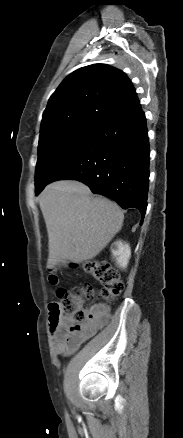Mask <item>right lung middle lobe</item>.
Instances as JSON below:
<instances>
[{
    "label": "right lung middle lobe",
    "instance_id": "obj_1",
    "mask_svg": "<svg viewBox=\"0 0 183 438\" xmlns=\"http://www.w3.org/2000/svg\"><path fill=\"white\" fill-rule=\"evenodd\" d=\"M97 126L77 125L40 136L35 172L36 193L43 190L89 142Z\"/></svg>",
    "mask_w": 183,
    "mask_h": 438
}]
</instances>
